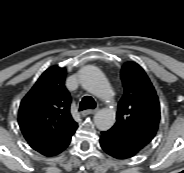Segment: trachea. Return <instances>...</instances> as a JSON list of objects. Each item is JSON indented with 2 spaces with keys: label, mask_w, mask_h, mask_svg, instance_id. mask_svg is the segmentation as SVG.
Returning a JSON list of instances; mask_svg holds the SVG:
<instances>
[{
  "label": "trachea",
  "mask_w": 184,
  "mask_h": 173,
  "mask_svg": "<svg viewBox=\"0 0 184 173\" xmlns=\"http://www.w3.org/2000/svg\"><path fill=\"white\" fill-rule=\"evenodd\" d=\"M96 102L91 96H84L79 104V111L86 109H94Z\"/></svg>",
  "instance_id": "trachea-1"
}]
</instances>
